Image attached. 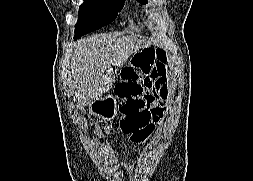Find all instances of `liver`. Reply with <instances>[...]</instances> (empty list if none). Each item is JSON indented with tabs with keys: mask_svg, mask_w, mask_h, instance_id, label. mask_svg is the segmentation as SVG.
<instances>
[{
	"mask_svg": "<svg viewBox=\"0 0 253 181\" xmlns=\"http://www.w3.org/2000/svg\"><path fill=\"white\" fill-rule=\"evenodd\" d=\"M150 42L136 36L94 35L78 40L72 54V89L81 105H90L115 82L112 66L122 67L128 58Z\"/></svg>",
	"mask_w": 253,
	"mask_h": 181,
	"instance_id": "obj_1",
	"label": "liver"
}]
</instances>
